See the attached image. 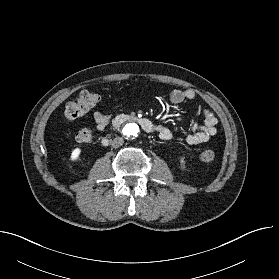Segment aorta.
Returning <instances> with one entry per match:
<instances>
[{
    "label": "aorta",
    "instance_id": "1",
    "mask_svg": "<svg viewBox=\"0 0 279 279\" xmlns=\"http://www.w3.org/2000/svg\"><path fill=\"white\" fill-rule=\"evenodd\" d=\"M140 132L139 126L136 123H127L122 129V133L125 137L132 139L136 138Z\"/></svg>",
    "mask_w": 279,
    "mask_h": 279
}]
</instances>
